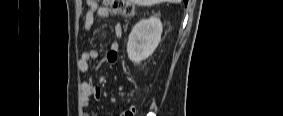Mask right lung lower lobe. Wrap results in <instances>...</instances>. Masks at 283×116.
I'll use <instances>...</instances> for the list:
<instances>
[{
  "instance_id": "1",
  "label": "right lung lower lobe",
  "mask_w": 283,
  "mask_h": 116,
  "mask_svg": "<svg viewBox=\"0 0 283 116\" xmlns=\"http://www.w3.org/2000/svg\"><path fill=\"white\" fill-rule=\"evenodd\" d=\"M188 0H184V3L187 4Z\"/></svg>"
}]
</instances>
